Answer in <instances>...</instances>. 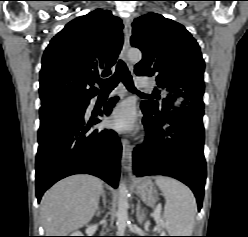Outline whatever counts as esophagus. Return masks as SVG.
I'll return each instance as SVG.
<instances>
[{
	"mask_svg": "<svg viewBox=\"0 0 248 237\" xmlns=\"http://www.w3.org/2000/svg\"><path fill=\"white\" fill-rule=\"evenodd\" d=\"M132 21L130 18L124 20V43L121 50V58L128 63L127 52L130 46L132 33ZM132 151L133 147L127 139L122 140V163L124 169L131 174L132 171Z\"/></svg>",
	"mask_w": 248,
	"mask_h": 237,
	"instance_id": "34e87169",
	"label": "esophagus"
}]
</instances>
